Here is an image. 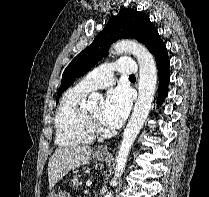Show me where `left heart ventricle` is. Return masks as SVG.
Returning <instances> with one entry per match:
<instances>
[{"mask_svg":"<svg viewBox=\"0 0 209 197\" xmlns=\"http://www.w3.org/2000/svg\"><path fill=\"white\" fill-rule=\"evenodd\" d=\"M102 103L98 104L94 107L89 108L88 110L90 111V113L95 116L97 119H100L101 117V111H102Z\"/></svg>","mask_w":209,"mask_h":197,"instance_id":"left-heart-ventricle-1","label":"left heart ventricle"}]
</instances>
